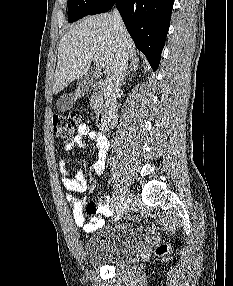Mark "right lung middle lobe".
<instances>
[{
    "instance_id": "1",
    "label": "right lung middle lobe",
    "mask_w": 233,
    "mask_h": 286,
    "mask_svg": "<svg viewBox=\"0 0 233 286\" xmlns=\"http://www.w3.org/2000/svg\"><path fill=\"white\" fill-rule=\"evenodd\" d=\"M101 0H68V22H75L90 15Z\"/></svg>"
}]
</instances>
